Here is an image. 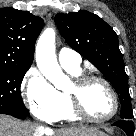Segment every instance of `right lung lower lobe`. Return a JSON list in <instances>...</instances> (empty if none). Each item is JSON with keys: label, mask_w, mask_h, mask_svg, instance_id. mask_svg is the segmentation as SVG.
I'll use <instances>...</instances> for the list:
<instances>
[{"label": "right lung lower lobe", "mask_w": 136, "mask_h": 136, "mask_svg": "<svg viewBox=\"0 0 136 136\" xmlns=\"http://www.w3.org/2000/svg\"><path fill=\"white\" fill-rule=\"evenodd\" d=\"M7 115H11V116L19 118V119H25L27 117V116H23V115H19V114H7Z\"/></svg>", "instance_id": "right-lung-lower-lobe-1"}]
</instances>
